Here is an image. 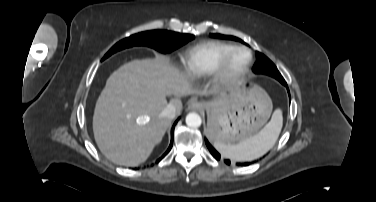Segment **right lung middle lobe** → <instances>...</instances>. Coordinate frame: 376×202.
I'll list each match as a JSON object with an SVG mask.
<instances>
[{
  "instance_id": "1",
  "label": "right lung middle lobe",
  "mask_w": 376,
  "mask_h": 202,
  "mask_svg": "<svg viewBox=\"0 0 376 202\" xmlns=\"http://www.w3.org/2000/svg\"><path fill=\"white\" fill-rule=\"evenodd\" d=\"M194 38L191 34L171 32L167 30L145 31L131 35L116 43L103 57L106 59L113 53L132 46H149L163 53L171 52Z\"/></svg>"
}]
</instances>
